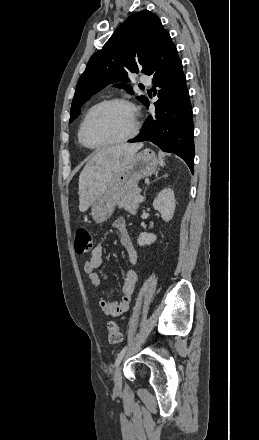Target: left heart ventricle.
Listing matches in <instances>:
<instances>
[{
    "instance_id": "obj_1",
    "label": "left heart ventricle",
    "mask_w": 259,
    "mask_h": 440,
    "mask_svg": "<svg viewBox=\"0 0 259 440\" xmlns=\"http://www.w3.org/2000/svg\"><path fill=\"white\" fill-rule=\"evenodd\" d=\"M131 110L123 104L107 105L96 111L85 128V138L91 145L118 140L132 129Z\"/></svg>"
}]
</instances>
